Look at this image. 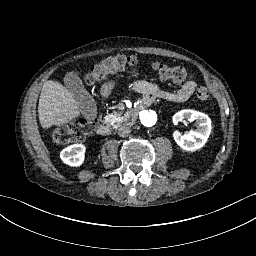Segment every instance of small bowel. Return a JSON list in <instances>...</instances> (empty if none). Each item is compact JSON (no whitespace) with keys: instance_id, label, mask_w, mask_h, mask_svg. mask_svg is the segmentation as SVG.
I'll list each match as a JSON object with an SVG mask.
<instances>
[{"instance_id":"c3829d8e","label":"small bowel","mask_w":256,"mask_h":256,"mask_svg":"<svg viewBox=\"0 0 256 256\" xmlns=\"http://www.w3.org/2000/svg\"><path fill=\"white\" fill-rule=\"evenodd\" d=\"M126 87L141 93L143 95L142 103L149 105L155 100H165L173 103L183 102L194 94L197 84L193 80H187L179 89L170 91L162 89L149 81L135 80L128 83Z\"/></svg>"}]
</instances>
